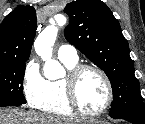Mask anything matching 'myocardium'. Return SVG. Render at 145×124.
Listing matches in <instances>:
<instances>
[{
  "label": "myocardium",
  "mask_w": 145,
  "mask_h": 124,
  "mask_svg": "<svg viewBox=\"0 0 145 124\" xmlns=\"http://www.w3.org/2000/svg\"><path fill=\"white\" fill-rule=\"evenodd\" d=\"M95 71L97 72L100 77L103 79L104 84L107 89V100L103 107L95 112H87L82 107L79 97H78V91L77 86L80 77L82 74L86 71ZM65 85H66V93H67V99L71 106V108L76 112L78 115L86 118H96L102 116L112 105L114 100V90L112 82L107 75V73L99 66L93 65V64H78L72 69L69 70L67 76L65 77Z\"/></svg>",
  "instance_id": "1"
}]
</instances>
